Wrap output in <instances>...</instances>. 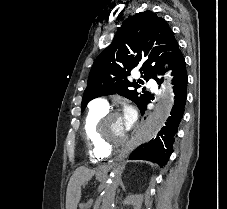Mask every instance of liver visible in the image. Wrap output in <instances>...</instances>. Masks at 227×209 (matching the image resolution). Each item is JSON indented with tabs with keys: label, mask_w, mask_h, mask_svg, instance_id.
<instances>
[{
	"label": "liver",
	"mask_w": 227,
	"mask_h": 209,
	"mask_svg": "<svg viewBox=\"0 0 227 209\" xmlns=\"http://www.w3.org/2000/svg\"><path fill=\"white\" fill-rule=\"evenodd\" d=\"M93 175L94 171H90L86 167H79V169L74 171V175H72L67 187L66 209H77L81 197L79 185L92 179Z\"/></svg>",
	"instance_id": "obj_1"
}]
</instances>
